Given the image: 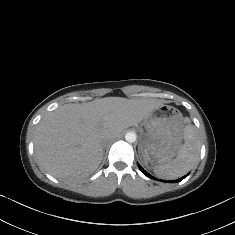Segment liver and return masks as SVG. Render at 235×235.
<instances>
[{
  "instance_id": "liver-1",
  "label": "liver",
  "mask_w": 235,
  "mask_h": 235,
  "mask_svg": "<svg viewBox=\"0 0 235 235\" xmlns=\"http://www.w3.org/2000/svg\"><path fill=\"white\" fill-rule=\"evenodd\" d=\"M163 104L153 98L108 97L84 105L60 106L45 115L34 131L40 170L60 181L88 177L103 159L105 139L137 126Z\"/></svg>"
}]
</instances>
